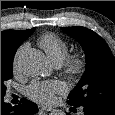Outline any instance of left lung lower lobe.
<instances>
[{"label":"left lung lower lobe","instance_id":"0a47b994","mask_svg":"<svg viewBox=\"0 0 115 115\" xmlns=\"http://www.w3.org/2000/svg\"><path fill=\"white\" fill-rule=\"evenodd\" d=\"M69 105H71V104H69ZM71 106H73V105H71ZM71 109H74V108H71ZM83 111H84L85 115H115V112H111L106 109L98 108V107H83ZM67 115H69V114H67Z\"/></svg>","mask_w":115,"mask_h":115}]
</instances>
